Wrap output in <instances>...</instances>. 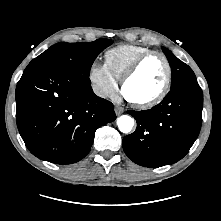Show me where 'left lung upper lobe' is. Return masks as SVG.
I'll use <instances>...</instances> for the list:
<instances>
[{"instance_id":"5c2ea615","label":"left lung upper lobe","mask_w":221,"mask_h":221,"mask_svg":"<svg viewBox=\"0 0 221 221\" xmlns=\"http://www.w3.org/2000/svg\"><path fill=\"white\" fill-rule=\"evenodd\" d=\"M164 54L166 55L172 72L171 88H174L187 81H195L196 76L192 69L179 60L170 50L162 47Z\"/></svg>"}]
</instances>
